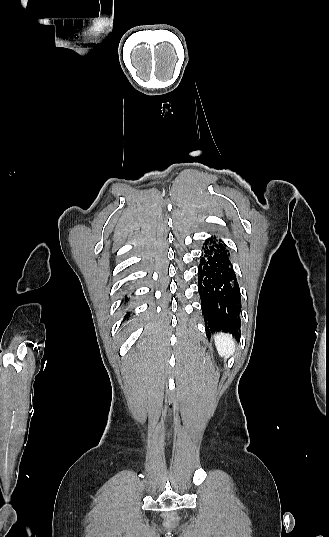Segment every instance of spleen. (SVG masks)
Listing matches in <instances>:
<instances>
[{
	"label": "spleen",
	"mask_w": 329,
	"mask_h": 537,
	"mask_svg": "<svg viewBox=\"0 0 329 537\" xmlns=\"http://www.w3.org/2000/svg\"><path fill=\"white\" fill-rule=\"evenodd\" d=\"M215 345L221 356L227 359L230 355H233L235 352V341L231 335L227 334H217L214 337Z\"/></svg>",
	"instance_id": "3e777b00"
}]
</instances>
